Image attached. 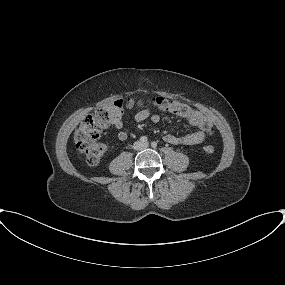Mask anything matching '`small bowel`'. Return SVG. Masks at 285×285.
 I'll list each match as a JSON object with an SVG mask.
<instances>
[{
	"label": "small bowel",
	"mask_w": 285,
	"mask_h": 285,
	"mask_svg": "<svg viewBox=\"0 0 285 285\" xmlns=\"http://www.w3.org/2000/svg\"><path fill=\"white\" fill-rule=\"evenodd\" d=\"M148 118H150V120L153 123H158L160 121V116L158 114H152L149 108L140 109L135 114V120L137 122H143ZM114 126L116 129L119 130L117 135L120 140H126L129 137L128 130L123 129L124 122L121 118H119L114 123ZM198 128L199 129L196 132L191 133V134H186L183 136H177L174 134H166L164 135L163 139L165 142L169 144H173V145L196 146V145L201 144L209 133V131L205 130L202 127H198Z\"/></svg>",
	"instance_id": "c3829d8e"
}]
</instances>
